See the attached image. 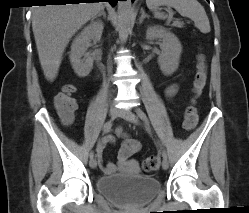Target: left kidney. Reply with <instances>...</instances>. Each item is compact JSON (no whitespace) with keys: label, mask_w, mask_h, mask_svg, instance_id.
<instances>
[{"label":"left kidney","mask_w":249,"mask_h":213,"mask_svg":"<svg viewBox=\"0 0 249 213\" xmlns=\"http://www.w3.org/2000/svg\"><path fill=\"white\" fill-rule=\"evenodd\" d=\"M147 39L159 38L162 40L160 48L162 50L158 57V64L161 71L172 74L178 69L182 46L179 39L170 31L162 27H148L146 31Z\"/></svg>","instance_id":"1"}]
</instances>
